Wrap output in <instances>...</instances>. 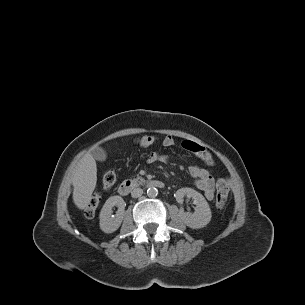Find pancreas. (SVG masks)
<instances>
[{
  "instance_id": "pancreas-1",
  "label": "pancreas",
  "mask_w": 305,
  "mask_h": 305,
  "mask_svg": "<svg viewBox=\"0 0 305 305\" xmlns=\"http://www.w3.org/2000/svg\"><path fill=\"white\" fill-rule=\"evenodd\" d=\"M132 181H133V183L139 185V184L143 183L145 180L141 176H137Z\"/></svg>"
}]
</instances>
